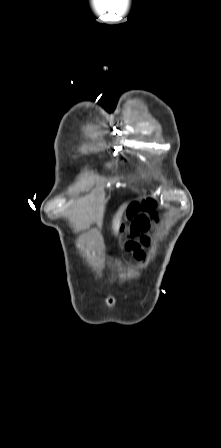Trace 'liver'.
<instances>
[{"label": "liver", "mask_w": 221, "mask_h": 448, "mask_svg": "<svg viewBox=\"0 0 221 448\" xmlns=\"http://www.w3.org/2000/svg\"><path fill=\"white\" fill-rule=\"evenodd\" d=\"M118 219H119V215H118V216L114 219V221H113V230H114L115 233L117 232L118 227H119V221H118Z\"/></svg>", "instance_id": "liver-1"}]
</instances>
